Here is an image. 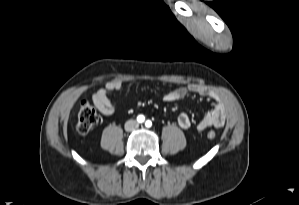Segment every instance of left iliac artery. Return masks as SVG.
<instances>
[{"instance_id":"44dca946","label":"left iliac artery","mask_w":299,"mask_h":205,"mask_svg":"<svg viewBox=\"0 0 299 205\" xmlns=\"http://www.w3.org/2000/svg\"><path fill=\"white\" fill-rule=\"evenodd\" d=\"M146 127H151L152 126V122L150 120H147L145 123Z\"/></svg>"}]
</instances>
